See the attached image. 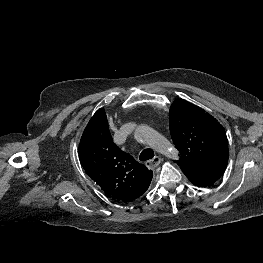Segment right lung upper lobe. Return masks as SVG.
I'll return each instance as SVG.
<instances>
[{"mask_svg":"<svg viewBox=\"0 0 263 263\" xmlns=\"http://www.w3.org/2000/svg\"><path fill=\"white\" fill-rule=\"evenodd\" d=\"M79 158L85 172L113 200H136L152 180L151 170L114 144L104 109H99L86 126Z\"/></svg>","mask_w":263,"mask_h":263,"instance_id":"obj_1","label":"right lung upper lobe"}]
</instances>
